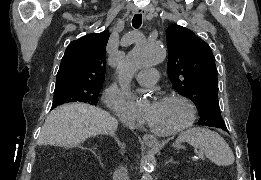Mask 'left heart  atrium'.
Returning <instances> with one entry per match:
<instances>
[{
	"label": "left heart atrium",
	"instance_id": "39dd6f15",
	"mask_svg": "<svg viewBox=\"0 0 261 180\" xmlns=\"http://www.w3.org/2000/svg\"><path fill=\"white\" fill-rule=\"evenodd\" d=\"M155 105V101L149 102L148 106H146L145 108H142L138 111V113H135L134 116L138 119L141 120H145L147 118V116L149 115L150 111L152 110V108Z\"/></svg>",
	"mask_w": 261,
	"mask_h": 180
}]
</instances>
